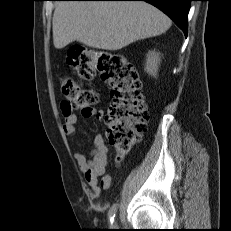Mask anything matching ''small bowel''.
Wrapping results in <instances>:
<instances>
[{"mask_svg":"<svg viewBox=\"0 0 231 231\" xmlns=\"http://www.w3.org/2000/svg\"><path fill=\"white\" fill-rule=\"evenodd\" d=\"M83 117L95 116L97 119L104 118L102 110H84ZM78 117L74 113L64 115L63 130L68 136H75L77 134L76 124ZM108 148L106 146L104 137L97 135L94 138V148L89 154L84 152H77L75 160L83 172L87 184L90 186L94 194H100L102 189H109L113 185V177L106 173Z\"/></svg>","mask_w":231,"mask_h":231,"instance_id":"1","label":"small bowel"}]
</instances>
